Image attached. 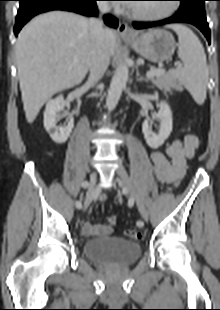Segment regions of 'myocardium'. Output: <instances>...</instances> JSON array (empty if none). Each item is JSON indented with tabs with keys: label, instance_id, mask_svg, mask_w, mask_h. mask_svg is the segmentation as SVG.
Returning <instances> with one entry per match:
<instances>
[{
	"label": "myocardium",
	"instance_id": "obj_1",
	"mask_svg": "<svg viewBox=\"0 0 220 310\" xmlns=\"http://www.w3.org/2000/svg\"><path fill=\"white\" fill-rule=\"evenodd\" d=\"M177 10V6L174 4H168L165 9L157 14H148L140 11H130L131 17L142 21H159L170 17Z\"/></svg>",
	"mask_w": 220,
	"mask_h": 310
}]
</instances>
